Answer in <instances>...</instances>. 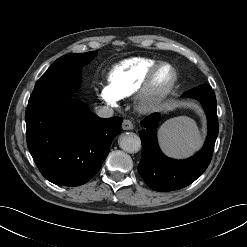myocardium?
<instances>
[{
    "mask_svg": "<svg viewBox=\"0 0 247 247\" xmlns=\"http://www.w3.org/2000/svg\"><path fill=\"white\" fill-rule=\"evenodd\" d=\"M164 67L170 68L172 78L168 85L160 92H154L153 83L157 73ZM178 81V73L175 67L168 62H159L146 75L145 79L136 91L135 108L141 113H149L157 109L171 94Z\"/></svg>",
    "mask_w": 247,
    "mask_h": 247,
    "instance_id": "f54148a6",
    "label": "myocardium"
}]
</instances>
